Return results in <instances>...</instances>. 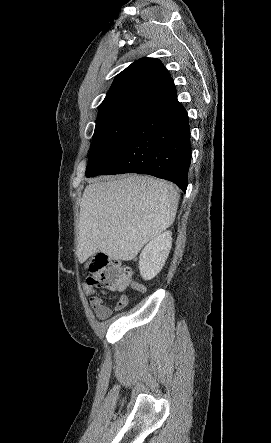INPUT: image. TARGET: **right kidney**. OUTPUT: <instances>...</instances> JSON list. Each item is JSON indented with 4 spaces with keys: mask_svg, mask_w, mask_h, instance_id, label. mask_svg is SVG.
Masks as SVG:
<instances>
[{
    "mask_svg": "<svg viewBox=\"0 0 271 443\" xmlns=\"http://www.w3.org/2000/svg\"><path fill=\"white\" fill-rule=\"evenodd\" d=\"M172 245V231L153 237L140 253L139 269L143 279H152L161 271Z\"/></svg>",
    "mask_w": 271,
    "mask_h": 443,
    "instance_id": "right-kidney-1",
    "label": "right kidney"
}]
</instances>
